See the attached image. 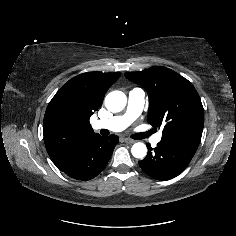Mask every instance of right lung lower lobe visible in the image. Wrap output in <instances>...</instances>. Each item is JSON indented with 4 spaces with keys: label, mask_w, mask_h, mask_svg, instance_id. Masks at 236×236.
I'll return each instance as SVG.
<instances>
[{
    "label": "right lung lower lobe",
    "mask_w": 236,
    "mask_h": 236,
    "mask_svg": "<svg viewBox=\"0 0 236 236\" xmlns=\"http://www.w3.org/2000/svg\"><path fill=\"white\" fill-rule=\"evenodd\" d=\"M118 141L116 135H98L57 168L76 180H90L106 167Z\"/></svg>",
    "instance_id": "1"
}]
</instances>
